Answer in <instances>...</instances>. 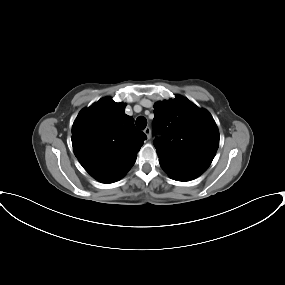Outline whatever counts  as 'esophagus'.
<instances>
[{
	"label": "esophagus",
	"instance_id": "1",
	"mask_svg": "<svg viewBox=\"0 0 285 285\" xmlns=\"http://www.w3.org/2000/svg\"><path fill=\"white\" fill-rule=\"evenodd\" d=\"M144 133L146 134L147 138L150 139L151 138V129L150 127H146L144 129Z\"/></svg>",
	"mask_w": 285,
	"mask_h": 285
}]
</instances>
